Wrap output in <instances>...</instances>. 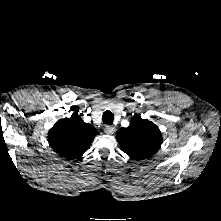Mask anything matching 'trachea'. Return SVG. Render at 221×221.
Segmentation results:
<instances>
[{
    "label": "trachea",
    "mask_w": 221,
    "mask_h": 221,
    "mask_svg": "<svg viewBox=\"0 0 221 221\" xmlns=\"http://www.w3.org/2000/svg\"><path fill=\"white\" fill-rule=\"evenodd\" d=\"M102 120H103V123L111 125L113 123V120H114L113 113L111 111H109V110H106L103 113Z\"/></svg>",
    "instance_id": "obj_1"
}]
</instances>
